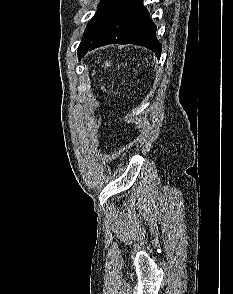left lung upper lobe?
I'll return each instance as SVG.
<instances>
[{"instance_id": "obj_1", "label": "left lung upper lobe", "mask_w": 233, "mask_h": 294, "mask_svg": "<svg viewBox=\"0 0 233 294\" xmlns=\"http://www.w3.org/2000/svg\"><path fill=\"white\" fill-rule=\"evenodd\" d=\"M112 2V0H101L99 5H98V11L96 12V14L93 16V18L90 20V22L88 23L83 38L81 40V43L79 45L78 48V56L82 47L83 42L86 40V38L88 37V35L90 34L92 28L94 27V25L96 24V22L99 20V18L101 17V15L103 14V12L105 11V9L107 8V6Z\"/></svg>"}]
</instances>
